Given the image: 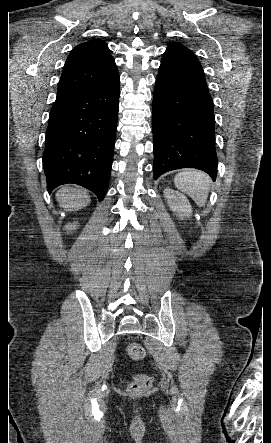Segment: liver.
I'll return each instance as SVG.
<instances>
[{"label": "liver", "instance_id": "6515ba94", "mask_svg": "<svg viewBox=\"0 0 271 443\" xmlns=\"http://www.w3.org/2000/svg\"><path fill=\"white\" fill-rule=\"evenodd\" d=\"M56 200L60 208H65L66 212H75L90 204V196L75 188H61L56 194Z\"/></svg>", "mask_w": 271, "mask_h": 443}]
</instances>
